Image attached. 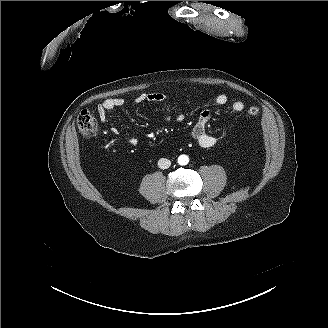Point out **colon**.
<instances>
[{"mask_svg":"<svg viewBox=\"0 0 328 328\" xmlns=\"http://www.w3.org/2000/svg\"><path fill=\"white\" fill-rule=\"evenodd\" d=\"M247 114L251 117L259 114V108L251 106L247 110ZM77 125L80 132L86 137H92L97 132V121L95 117L88 111H82L77 118Z\"/></svg>","mask_w":328,"mask_h":328,"instance_id":"1","label":"colon"}]
</instances>
